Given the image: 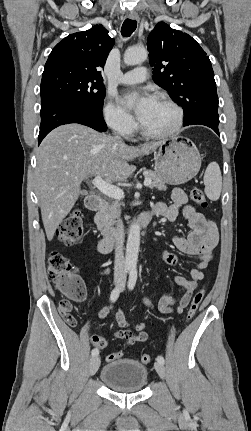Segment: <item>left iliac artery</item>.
Listing matches in <instances>:
<instances>
[{
  "label": "left iliac artery",
  "mask_w": 251,
  "mask_h": 431,
  "mask_svg": "<svg viewBox=\"0 0 251 431\" xmlns=\"http://www.w3.org/2000/svg\"><path fill=\"white\" fill-rule=\"evenodd\" d=\"M129 271H130V275L128 280V288L129 290H133L137 280V268L135 266H132L130 267ZM157 361L162 364H164L165 362L164 357L161 355L157 357Z\"/></svg>",
  "instance_id": "44dca946"
}]
</instances>
